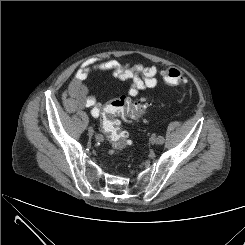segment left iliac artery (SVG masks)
I'll return each mask as SVG.
<instances>
[{
    "label": "left iliac artery",
    "mask_w": 245,
    "mask_h": 245,
    "mask_svg": "<svg viewBox=\"0 0 245 245\" xmlns=\"http://www.w3.org/2000/svg\"><path fill=\"white\" fill-rule=\"evenodd\" d=\"M157 143L158 144H163L164 143V138L162 136H158Z\"/></svg>",
    "instance_id": "left-iliac-artery-1"
}]
</instances>
